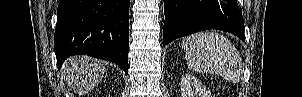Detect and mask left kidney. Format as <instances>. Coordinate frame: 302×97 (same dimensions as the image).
I'll return each instance as SVG.
<instances>
[{"mask_svg":"<svg viewBox=\"0 0 302 97\" xmlns=\"http://www.w3.org/2000/svg\"><path fill=\"white\" fill-rule=\"evenodd\" d=\"M180 89L182 97H211L202 83L190 74L182 76Z\"/></svg>","mask_w":302,"mask_h":97,"instance_id":"obj_1","label":"left kidney"}]
</instances>
